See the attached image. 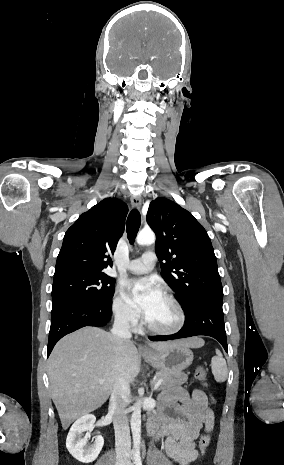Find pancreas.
I'll return each instance as SVG.
<instances>
[{
	"label": "pancreas",
	"mask_w": 284,
	"mask_h": 465,
	"mask_svg": "<svg viewBox=\"0 0 284 465\" xmlns=\"http://www.w3.org/2000/svg\"><path fill=\"white\" fill-rule=\"evenodd\" d=\"M188 375L181 373V371H170V373H167V371H159L156 375L157 381H160V379H163V381L158 391H165V389H171V387H180V385L186 383Z\"/></svg>",
	"instance_id": "1"
}]
</instances>
